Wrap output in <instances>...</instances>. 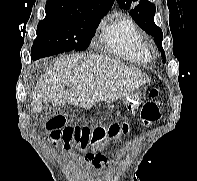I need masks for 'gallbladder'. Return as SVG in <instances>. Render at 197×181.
Wrapping results in <instances>:
<instances>
[{
  "instance_id": "1",
  "label": "gallbladder",
  "mask_w": 197,
  "mask_h": 181,
  "mask_svg": "<svg viewBox=\"0 0 197 181\" xmlns=\"http://www.w3.org/2000/svg\"><path fill=\"white\" fill-rule=\"evenodd\" d=\"M50 109H53V110H54V108H52V106H51L50 103L44 102V103H43V111H48V110H50Z\"/></svg>"
}]
</instances>
